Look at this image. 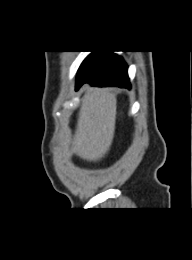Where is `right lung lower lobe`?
I'll return each instance as SVG.
<instances>
[{"label": "right lung lower lobe", "instance_id": "obj_1", "mask_svg": "<svg viewBox=\"0 0 192 260\" xmlns=\"http://www.w3.org/2000/svg\"><path fill=\"white\" fill-rule=\"evenodd\" d=\"M84 83L131 88L126 63L112 51H93L83 61L77 74L76 90Z\"/></svg>", "mask_w": 192, "mask_h": 260}]
</instances>
